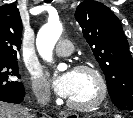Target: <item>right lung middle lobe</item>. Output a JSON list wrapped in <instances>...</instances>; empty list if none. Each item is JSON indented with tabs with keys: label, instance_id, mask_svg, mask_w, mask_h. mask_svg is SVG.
Wrapping results in <instances>:
<instances>
[{
	"label": "right lung middle lobe",
	"instance_id": "1",
	"mask_svg": "<svg viewBox=\"0 0 133 118\" xmlns=\"http://www.w3.org/2000/svg\"><path fill=\"white\" fill-rule=\"evenodd\" d=\"M20 78L18 74L17 61H0V92L11 91L23 86L17 80Z\"/></svg>",
	"mask_w": 133,
	"mask_h": 118
}]
</instances>
